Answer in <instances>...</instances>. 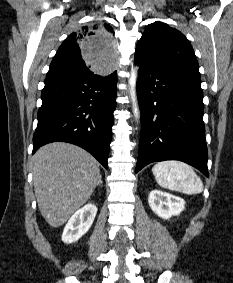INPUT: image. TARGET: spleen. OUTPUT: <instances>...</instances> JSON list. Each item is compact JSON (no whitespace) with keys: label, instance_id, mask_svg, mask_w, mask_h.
<instances>
[{"label":"spleen","instance_id":"3e777b00","mask_svg":"<svg viewBox=\"0 0 233 283\" xmlns=\"http://www.w3.org/2000/svg\"><path fill=\"white\" fill-rule=\"evenodd\" d=\"M157 183L170 190L188 195L203 191L200 177L187 164L179 161L159 162L152 168Z\"/></svg>","mask_w":233,"mask_h":283}]
</instances>
